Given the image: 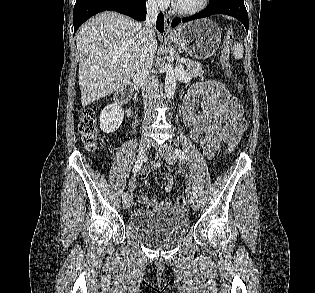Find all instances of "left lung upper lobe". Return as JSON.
Wrapping results in <instances>:
<instances>
[{"mask_svg":"<svg viewBox=\"0 0 315 293\" xmlns=\"http://www.w3.org/2000/svg\"><path fill=\"white\" fill-rule=\"evenodd\" d=\"M214 1H216V0H210V3L214 2Z\"/></svg>","mask_w":315,"mask_h":293,"instance_id":"obj_1","label":"left lung upper lobe"}]
</instances>
